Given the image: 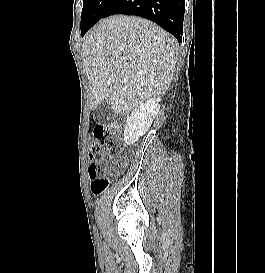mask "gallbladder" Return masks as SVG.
<instances>
[{
    "label": "gallbladder",
    "instance_id": "obj_1",
    "mask_svg": "<svg viewBox=\"0 0 265 273\" xmlns=\"http://www.w3.org/2000/svg\"><path fill=\"white\" fill-rule=\"evenodd\" d=\"M93 117L98 123H106L116 118V114L107 102H101L93 109Z\"/></svg>",
    "mask_w": 265,
    "mask_h": 273
}]
</instances>
